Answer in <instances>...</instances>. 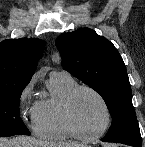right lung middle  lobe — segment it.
<instances>
[{
	"label": "right lung middle lobe",
	"instance_id": "1",
	"mask_svg": "<svg viewBox=\"0 0 145 147\" xmlns=\"http://www.w3.org/2000/svg\"><path fill=\"white\" fill-rule=\"evenodd\" d=\"M25 87L0 92V137L31 134L19 114L20 97Z\"/></svg>",
	"mask_w": 145,
	"mask_h": 147
}]
</instances>
